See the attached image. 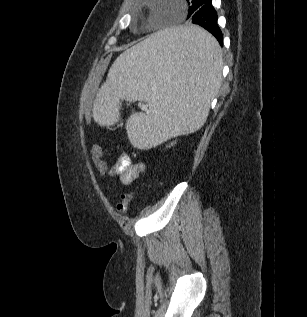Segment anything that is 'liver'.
<instances>
[{
	"mask_svg": "<svg viewBox=\"0 0 307 317\" xmlns=\"http://www.w3.org/2000/svg\"><path fill=\"white\" fill-rule=\"evenodd\" d=\"M98 71L101 73L103 70L100 68ZM89 88L93 89V91L89 94V98H88V104L87 105L90 107L92 104L95 103V99H96L95 90L101 88L100 75L99 74H93L92 75L91 82L89 83ZM86 116L89 118L91 115L88 113Z\"/></svg>",
	"mask_w": 307,
	"mask_h": 317,
	"instance_id": "6515ba94",
	"label": "liver"
}]
</instances>
